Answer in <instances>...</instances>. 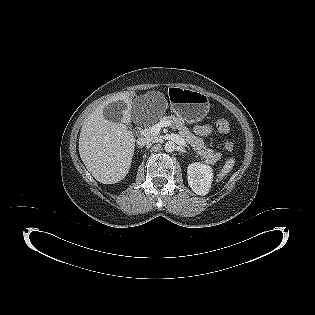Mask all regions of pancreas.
<instances>
[{"mask_svg":"<svg viewBox=\"0 0 315 315\" xmlns=\"http://www.w3.org/2000/svg\"><path fill=\"white\" fill-rule=\"evenodd\" d=\"M160 121H169L174 128L179 130L180 136L185 139L186 143L190 145L205 163L214 165L221 158V153L206 148L203 139L196 137L190 132L182 118L171 115L161 117ZM150 128H148V135L152 136L149 131Z\"/></svg>","mask_w":315,"mask_h":315,"instance_id":"cf45deb5","label":"pancreas"}]
</instances>
